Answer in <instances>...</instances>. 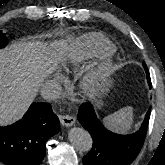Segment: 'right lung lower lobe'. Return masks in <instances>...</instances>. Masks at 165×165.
I'll return each mask as SVG.
<instances>
[{
  "instance_id": "1",
  "label": "right lung lower lobe",
  "mask_w": 165,
  "mask_h": 165,
  "mask_svg": "<svg viewBox=\"0 0 165 165\" xmlns=\"http://www.w3.org/2000/svg\"><path fill=\"white\" fill-rule=\"evenodd\" d=\"M60 131L49 103H33L23 118L0 127V162L6 165H39L48 138Z\"/></svg>"
}]
</instances>
